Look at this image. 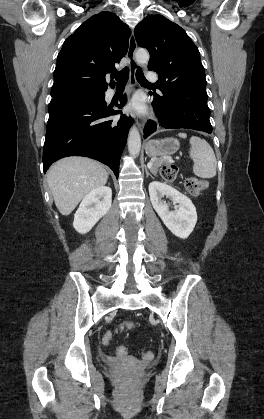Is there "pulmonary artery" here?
Returning a JSON list of instances; mask_svg holds the SVG:
<instances>
[{"mask_svg": "<svg viewBox=\"0 0 264 419\" xmlns=\"http://www.w3.org/2000/svg\"><path fill=\"white\" fill-rule=\"evenodd\" d=\"M146 77H147L148 81H150V82H156L157 79H158L156 73L151 72V71L147 73Z\"/></svg>", "mask_w": 264, "mask_h": 419, "instance_id": "obj_1", "label": "pulmonary artery"}]
</instances>
